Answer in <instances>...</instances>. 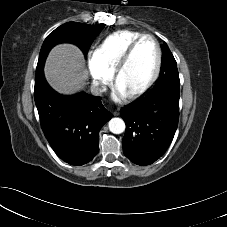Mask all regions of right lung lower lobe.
Segmentation results:
<instances>
[{
	"label": "right lung lower lobe",
	"mask_w": 227,
	"mask_h": 227,
	"mask_svg": "<svg viewBox=\"0 0 227 227\" xmlns=\"http://www.w3.org/2000/svg\"><path fill=\"white\" fill-rule=\"evenodd\" d=\"M34 97L41 128L54 152L75 166L91 161L99 152V130L112 117L101 98L60 95L47 83L43 69L36 70Z\"/></svg>",
	"instance_id": "right-lung-lower-lobe-1"
}]
</instances>
